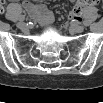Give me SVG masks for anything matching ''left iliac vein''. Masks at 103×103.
Masks as SVG:
<instances>
[{
	"label": "left iliac vein",
	"instance_id": "4c4485c4",
	"mask_svg": "<svg viewBox=\"0 0 103 103\" xmlns=\"http://www.w3.org/2000/svg\"><path fill=\"white\" fill-rule=\"evenodd\" d=\"M71 31L75 33H81L84 31V27L82 25H74L71 26Z\"/></svg>",
	"mask_w": 103,
	"mask_h": 103
}]
</instances>
